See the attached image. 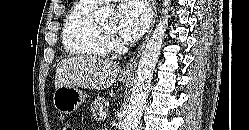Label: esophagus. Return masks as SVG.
Listing matches in <instances>:
<instances>
[{
  "label": "esophagus",
  "mask_w": 249,
  "mask_h": 130,
  "mask_svg": "<svg viewBox=\"0 0 249 130\" xmlns=\"http://www.w3.org/2000/svg\"><path fill=\"white\" fill-rule=\"evenodd\" d=\"M151 1V6H152V10H153V20H152V23H151V27L144 39V41L139 45V47L136 49V51L133 53L131 59L128 61L126 67L122 70V75L123 76H132L133 73H134V70L137 66V62H138V59H139V56L145 46V43L147 42L149 36H150V33L153 29V26L155 24V21H156V17H157V8H156V0H150Z\"/></svg>",
  "instance_id": "esophagus-1"
}]
</instances>
